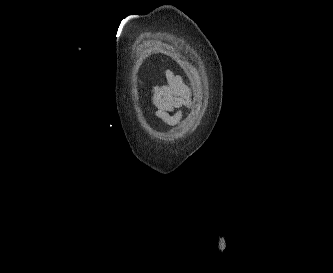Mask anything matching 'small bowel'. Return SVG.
<instances>
[{"label":"small bowel","instance_id":"c3829d8e","mask_svg":"<svg viewBox=\"0 0 333 273\" xmlns=\"http://www.w3.org/2000/svg\"><path fill=\"white\" fill-rule=\"evenodd\" d=\"M181 80L172 72L168 71L165 75V81L156 84L153 88L152 102L156 107L155 116L164 121H173L174 118L169 115L173 105L180 104L182 99L178 97Z\"/></svg>","mask_w":333,"mask_h":273}]
</instances>
